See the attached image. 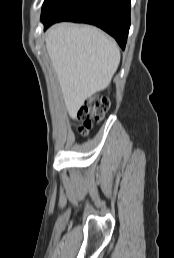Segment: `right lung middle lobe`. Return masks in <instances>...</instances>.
I'll return each instance as SVG.
<instances>
[{"instance_id":"obj_1","label":"right lung middle lobe","mask_w":174,"mask_h":258,"mask_svg":"<svg viewBox=\"0 0 174 258\" xmlns=\"http://www.w3.org/2000/svg\"><path fill=\"white\" fill-rule=\"evenodd\" d=\"M64 1L65 0H45L42 7L41 21L43 22L48 19Z\"/></svg>"}]
</instances>
